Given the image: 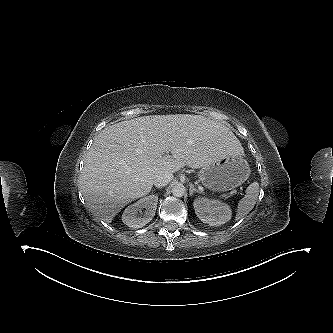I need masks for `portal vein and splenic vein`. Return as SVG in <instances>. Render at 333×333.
<instances>
[{"mask_svg":"<svg viewBox=\"0 0 333 333\" xmlns=\"http://www.w3.org/2000/svg\"><path fill=\"white\" fill-rule=\"evenodd\" d=\"M200 190H203V187H201ZM225 196H226V195H225Z\"/></svg>","mask_w":333,"mask_h":333,"instance_id":"obj_1","label":"portal vein and splenic vein"}]
</instances>
